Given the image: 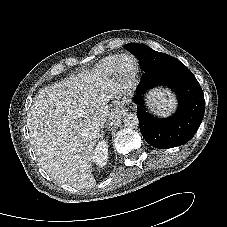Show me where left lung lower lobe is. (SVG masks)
Instances as JSON below:
<instances>
[{
  "label": "left lung lower lobe",
  "mask_w": 227,
  "mask_h": 227,
  "mask_svg": "<svg viewBox=\"0 0 227 227\" xmlns=\"http://www.w3.org/2000/svg\"><path fill=\"white\" fill-rule=\"evenodd\" d=\"M142 65V75L133 101L137 104V117L143 138L158 149H168L187 143L198 130L205 109L203 91L192 72L182 63L152 70L160 53L140 44L132 50ZM165 85L177 95L179 104L174 115L159 119L146 111L144 94L148 89Z\"/></svg>",
  "instance_id": "left-lung-lower-lobe-1"
}]
</instances>
